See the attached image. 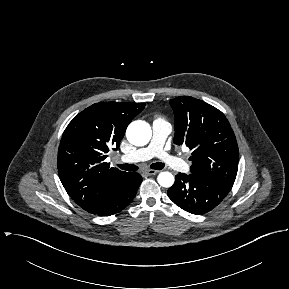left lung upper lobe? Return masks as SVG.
<instances>
[{"label":"left lung upper lobe","mask_w":289,"mask_h":289,"mask_svg":"<svg viewBox=\"0 0 289 289\" xmlns=\"http://www.w3.org/2000/svg\"><path fill=\"white\" fill-rule=\"evenodd\" d=\"M175 114L174 143L192 150L193 175L232 188L238 169V146L224 114L189 96L170 100Z\"/></svg>","instance_id":"1"}]
</instances>
